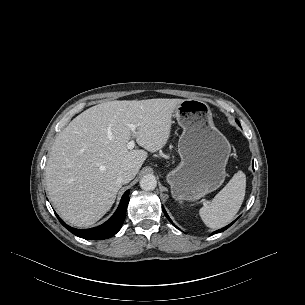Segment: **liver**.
Masks as SVG:
<instances>
[{"label":"liver","mask_w":305,"mask_h":305,"mask_svg":"<svg viewBox=\"0 0 305 305\" xmlns=\"http://www.w3.org/2000/svg\"><path fill=\"white\" fill-rule=\"evenodd\" d=\"M183 99L109 101L75 117L56 137L45 168L50 199L63 220L88 227L112 207L122 184L120 170L136 174L147 158L130 150L135 138L153 153L167 143L172 113ZM138 124L135 132L129 125Z\"/></svg>","instance_id":"obj_1"}]
</instances>
